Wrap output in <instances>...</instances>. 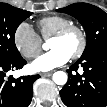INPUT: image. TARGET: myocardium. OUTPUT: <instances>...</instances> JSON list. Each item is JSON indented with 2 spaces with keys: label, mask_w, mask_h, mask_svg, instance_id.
I'll use <instances>...</instances> for the list:
<instances>
[{
  "label": "myocardium",
  "mask_w": 107,
  "mask_h": 107,
  "mask_svg": "<svg viewBox=\"0 0 107 107\" xmlns=\"http://www.w3.org/2000/svg\"><path fill=\"white\" fill-rule=\"evenodd\" d=\"M73 31H75L79 34L80 45H79L78 49L72 55H70V58L78 59L85 52L86 47H87V42H88L86 31L82 26L76 25L73 23L69 24V25L63 27L62 29H60L59 31H57L55 34H53L51 39H62Z\"/></svg>",
  "instance_id": "f54148a6"
}]
</instances>
